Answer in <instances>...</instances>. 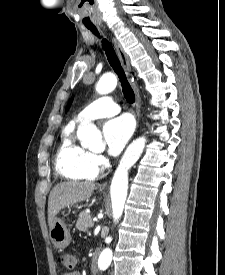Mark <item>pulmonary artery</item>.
I'll use <instances>...</instances> for the list:
<instances>
[{"mask_svg":"<svg viewBox=\"0 0 225 275\" xmlns=\"http://www.w3.org/2000/svg\"><path fill=\"white\" fill-rule=\"evenodd\" d=\"M120 106L108 96L100 97L90 103L77 116L79 122L112 116L120 112Z\"/></svg>","mask_w":225,"mask_h":275,"instance_id":"pulmonary-artery-1","label":"pulmonary artery"}]
</instances>
